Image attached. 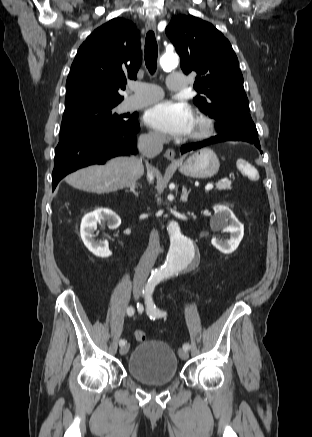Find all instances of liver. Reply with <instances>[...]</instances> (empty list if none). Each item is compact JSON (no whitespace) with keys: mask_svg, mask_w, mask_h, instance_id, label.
<instances>
[{"mask_svg":"<svg viewBox=\"0 0 312 437\" xmlns=\"http://www.w3.org/2000/svg\"><path fill=\"white\" fill-rule=\"evenodd\" d=\"M143 174L144 166L140 158L120 156L104 165L80 169L68 175L65 181L78 190L105 194L132 186Z\"/></svg>","mask_w":312,"mask_h":437,"instance_id":"1","label":"liver"}]
</instances>
